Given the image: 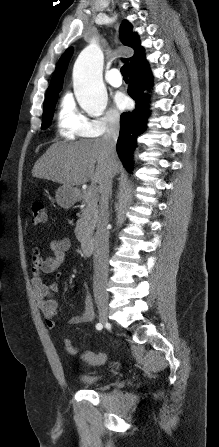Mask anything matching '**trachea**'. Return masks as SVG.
<instances>
[{
    "instance_id": "trachea-1",
    "label": "trachea",
    "mask_w": 219,
    "mask_h": 447,
    "mask_svg": "<svg viewBox=\"0 0 219 447\" xmlns=\"http://www.w3.org/2000/svg\"><path fill=\"white\" fill-rule=\"evenodd\" d=\"M128 69H129V64H125L122 66L121 74H122L123 78H128Z\"/></svg>"
}]
</instances>
